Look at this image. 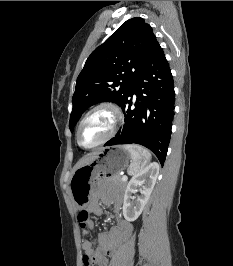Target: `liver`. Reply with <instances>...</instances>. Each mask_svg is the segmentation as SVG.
I'll list each match as a JSON object with an SVG mask.
<instances>
[{"label": "liver", "instance_id": "liver-1", "mask_svg": "<svg viewBox=\"0 0 233 266\" xmlns=\"http://www.w3.org/2000/svg\"><path fill=\"white\" fill-rule=\"evenodd\" d=\"M99 152H92L89 153L88 155H86L85 157H83L82 159L79 160V162L76 164L75 166V170L85 164L90 163L98 154Z\"/></svg>", "mask_w": 233, "mask_h": 266}]
</instances>
